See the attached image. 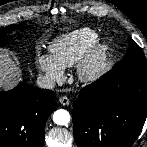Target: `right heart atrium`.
Returning a JSON list of instances; mask_svg holds the SVG:
<instances>
[{
  "instance_id": "obj_1",
  "label": "right heart atrium",
  "mask_w": 147,
  "mask_h": 147,
  "mask_svg": "<svg viewBox=\"0 0 147 147\" xmlns=\"http://www.w3.org/2000/svg\"><path fill=\"white\" fill-rule=\"evenodd\" d=\"M37 67L51 81H61L64 77V68L49 55H39L36 58Z\"/></svg>"
}]
</instances>
